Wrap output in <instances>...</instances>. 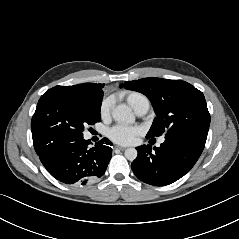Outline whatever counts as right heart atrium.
I'll use <instances>...</instances> for the list:
<instances>
[{
    "mask_svg": "<svg viewBox=\"0 0 239 239\" xmlns=\"http://www.w3.org/2000/svg\"><path fill=\"white\" fill-rule=\"evenodd\" d=\"M111 100L110 99H105L103 100L101 106H100V116L105 119L108 118L110 115V110H111Z\"/></svg>",
    "mask_w": 239,
    "mask_h": 239,
    "instance_id": "1",
    "label": "right heart atrium"
}]
</instances>
